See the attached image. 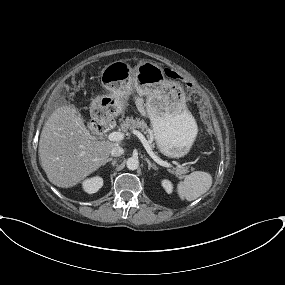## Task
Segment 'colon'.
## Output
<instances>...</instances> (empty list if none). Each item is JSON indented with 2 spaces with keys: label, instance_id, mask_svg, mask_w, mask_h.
Wrapping results in <instances>:
<instances>
[{
  "label": "colon",
  "instance_id": "obj_1",
  "mask_svg": "<svg viewBox=\"0 0 285 285\" xmlns=\"http://www.w3.org/2000/svg\"><path fill=\"white\" fill-rule=\"evenodd\" d=\"M165 74L170 77V78H173V79H179L180 76L177 75L175 72H173L172 70L170 69H166L165 70ZM188 92L190 94L191 97H193L194 99L198 100L201 102V105H202V111L203 113H205V106H204V95L202 93V91L200 89H198L196 86L194 85H190L188 87Z\"/></svg>",
  "mask_w": 285,
  "mask_h": 285
}]
</instances>
